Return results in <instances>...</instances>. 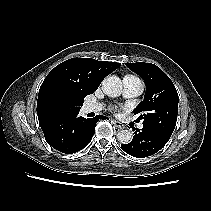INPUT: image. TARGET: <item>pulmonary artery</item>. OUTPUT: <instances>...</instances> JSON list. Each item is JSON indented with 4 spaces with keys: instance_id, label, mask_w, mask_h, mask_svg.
<instances>
[{
    "instance_id": "obj_1",
    "label": "pulmonary artery",
    "mask_w": 211,
    "mask_h": 211,
    "mask_svg": "<svg viewBox=\"0 0 211 211\" xmlns=\"http://www.w3.org/2000/svg\"><path fill=\"white\" fill-rule=\"evenodd\" d=\"M123 95L126 98H134L139 96L144 90V84L142 80L133 75H126L122 80ZM101 110V106L95 103H89L86 105L87 112H97ZM143 125L139 124L138 128H142Z\"/></svg>"
}]
</instances>
